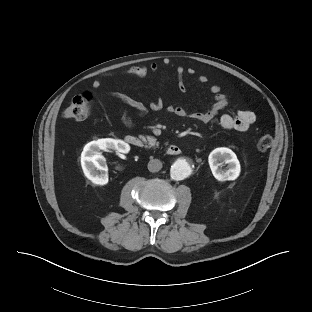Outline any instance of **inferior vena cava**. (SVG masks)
<instances>
[{
  "instance_id": "inferior-vena-cava-1",
  "label": "inferior vena cava",
  "mask_w": 312,
  "mask_h": 312,
  "mask_svg": "<svg viewBox=\"0 0 312 312\" xmlns=\"http://www.w3.org/2000/svg\"><path fill=\"white\" fill-rule=\"evenodd\" d=\"M162 168V162L159 159H151L148 162V170L150 172H158Z\"/></svg>"
}]
</instances>
